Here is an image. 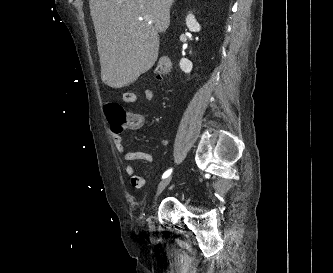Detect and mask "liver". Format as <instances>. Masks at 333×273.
Listing matches in <instances>:
<instances>
[{"label": "liver", "instance_id": "6515ba94", "mask_svg": "<svg viewBox=\"0 0 333 273\" xmlns=\"http://www.w3.org/2000/svg\"><path fill=\"white\" fill-rule=\"evenodd\" d=\"M174 0H89L102 81L121 88L155 64ZM149 17L152 23L145 18ZM142 19V20H141Z\"/></svg>", "mask_w": 333, "mask_h": 273}]
</instances>
